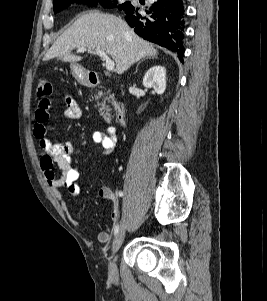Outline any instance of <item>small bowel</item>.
<instances>
[{
	"instance_id": "1",
	"label": "small bowel",
	"mask_w": 267,
	"mask_h": 301,
	"mask_svg": "<svg viewBox=\"0 0 267 301\" xmlns=\"http://www.w3.org/2000/svg\"><path fill=\"white\" fill-rule=\"evenodd\" d=\"M65 110L63 116L68 119H78L81 117L82 111L76 100L69 94L64 95ZM51 101L48 98H42L34 111L33 135L37 139L41 148L40 168L44 178L53 191L60 197V190L65 189L71 196L77 197L80 193L79 170L73 163L74 148L71 142H51L46 137V122L49 119V110ZM93 142L100 144L103 155H109L117 146V133L113 126L107 128L105 132H95L92 135ZM57 166L61 170L60 176H57L54 167ZM98 195L103 199L111 200L113 208L111 212L112 226L99 232L95 238L98 243L106 244L109 242L118 219L119 209L114 194L107 187H101ZM64 209L68 210L64 204ZM86 232L89 229L83 226Z\"/></svg>"
}]
</instances>
